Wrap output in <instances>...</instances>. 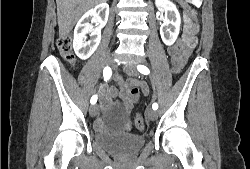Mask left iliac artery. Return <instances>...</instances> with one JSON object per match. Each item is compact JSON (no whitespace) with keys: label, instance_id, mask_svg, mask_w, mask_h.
Masks as SVG:
<instances>
[{"label":"left iliac artery","instance_id":"obj_1","mask_svg":"<svg viewBox=\"0 0 250 169\" xmlns=\"http://www.w3.org/2000/svg\"><path fill=\"white\" fill-rule=\"evenodd\" d=\"M137 69L140 73L144 74V75H148L150 73L149 69L144 66V65H138ZM153 110H157L158 109V104L157 103H153L152 105Z\"/></svg>","mask_w":250,"mask_h":169}]
</instances>
